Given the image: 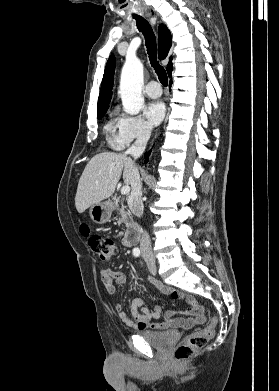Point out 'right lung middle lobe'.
<instances>
[{"instance_id":"obj_1","label":"right lung middle lobe","mask_w":279,"mask_h":391,"mask_svg":"<svg viewBox=\"0 0 279 391\" xmlns=\"http://www.w3.org/2000/svg\"><path fill=\"white\" fill-rule=\"evenodd\" d=\"M105 113H106V109L101 110V111H98L97 117H98V118H101V117L104 116Z\"/></svg>"}]
</instances>
